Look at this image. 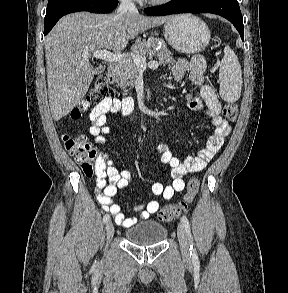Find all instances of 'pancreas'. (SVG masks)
<instances>
[{
	"label": "pancreas",
	"mask_w": 288,
	"mask_h": 293,
	"mask_svg": "<svg viewBox=\"0 0 288 293\" xmlns=\"http://www.w3.org/2000/svg\"><path fill=\"white\" fill-rule=\"evenodd\" d=\"M131 50V53L118 63V71L113 79L116 86L122 90L127 86L133 87L138 75V67L134 63L132 55L138 54L142 57L156 56L163 65H171L174 63L172 53L168 50L166 43L157 38H150L142 41L137 40L135 44L132 45Z\"/></svg>",
	"instance_id": "1"
}]
</instances>
